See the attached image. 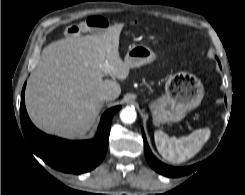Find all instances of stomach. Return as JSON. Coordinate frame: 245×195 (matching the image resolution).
<instances>
[{
	"mask_svg": "<svg viewBox=\"0 0 245 195\" xmlns=\"http://www.w3.org/2000/svg\"><path fill=\"white\" fill-rule=\"evenodd\" d=\"M156 58L154 52L144 46H132L126 54L125 62L131 68L151 63ZM204 96L201 81L188 72H178L165 83V94L150 102L149 108L156 125L178 122L187 112L198 107Z\"/></svg>",
	"mask_w": 245,
	"mask_h": 195,
	"instance_id": "obj_1",
	"label": "stomach"
}]
</instances>
